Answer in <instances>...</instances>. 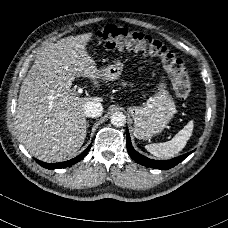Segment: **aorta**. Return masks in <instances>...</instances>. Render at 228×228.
Here are the masks:
<instances>
[{
  "mask_svg": "<svg viewBox=\"0 0 228 228\" xmlns=\"http://www.w3.org/2000/svg\"><path fill=\"white\" fill-rule=\"evenodd\" d=\"M111 124L117 127L124 126L126 123V116L122 112H115L110 117Z\"/></svg>",
  "mask_w": 228,
  "mask_h": 228,
  "instance_id": "aorta-1",
  "label": "aorta"
}]
</instances>
